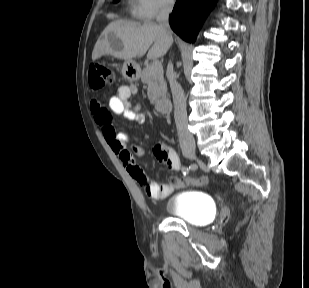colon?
Returning <instances> with one entry per match:
<instances>
[{
    "label": "colon",
    "instance_id": "5ec220e1",
    "mask_svg": "<svg viewBox=\"0 0 309 288\" xmlns=\"http://www.w3.org/2000/svg\"><path fill=\"white\" fill-rule=\"evenodd\" d=\"M114 82L113 73L103 67H95V70L91 72L90 83L95 88H100L105 85L112 84ZM96 101V100H95ZM206 177H172L169 183L174 187H202L207 184Z\"/></svg>",
    "mask_w": 309,
    "mask_h": 288
}]
</instances>
